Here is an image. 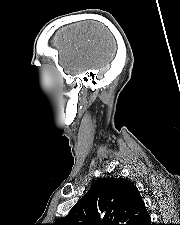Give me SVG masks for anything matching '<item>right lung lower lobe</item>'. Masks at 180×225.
I'll return each mask as SVG.
<instances>
[{
  "label": "right lung lower lobe",
  "mask_w": 180,
  "mask_h": 225,
  "mask_svg": "<svg viewBox=\"0 0 180 225\" xmlns=\"http://www.w3.org/2000/svg\"><path fill=\"white\" fill-rule=\"evenodd\" d=\"M150 220H151V219H150ZM147 225H153V224H151V221H150Z\"/></svg>",
  "instance_id": "right-lung-lower-lobe-1"
}]
</instances>
